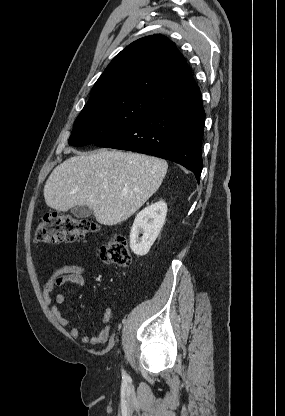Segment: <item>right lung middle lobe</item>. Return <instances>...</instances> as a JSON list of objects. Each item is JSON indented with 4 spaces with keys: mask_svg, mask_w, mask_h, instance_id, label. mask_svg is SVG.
Instances as JSON below:
<instances>
[{
    "mask_svg": "<svg viewBox=\"0 0 285 416\" xmlns=\"http://www.w3.org/2000/svg\"><path fill=\"white\" fill-rule=\"evenodd\" d=\"M161 106L138 96L84 107L68 140L73 146L94 144L137 122Z\"/></svg>",
    "mask_w": 285,
    "mask_h": 416,
    "instance_id": "1",
    "label": "right lung middle lobe"
}]
</instances>
